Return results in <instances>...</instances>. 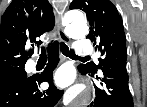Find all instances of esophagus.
Returning a JSON list of instances; mask_svg holds the SVG:
<instances>
[{
	"label": "esophagus",
	"mask_w": 147,
	"mask_h": 107,
	"mask_svg": "<svg viewBox=\"0 0 147 107\" xmlns=\"http://www.w3.org/2000/svg\"><path fill=\"white\" fill-rule=\"evenodd\" d=\"M56 30H57V33H58L59 38L63 42L68 43V44L71 42L70 38L64 32V28H63V26L61 24V20L60 19H58L56 21Z\"/></svg>",
	"instance_id": "1"
}]
</instances>
